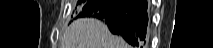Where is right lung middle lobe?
<instances>
[{"label":"right lung middle lobe","instance_id":"1","mask_svg":"<svg viewBox=\"0 0 213 48\" xmlns=\"http://www.w3.org/2000/svg\"><path fill=\"white\" fill-rule=\"evenodd\" d=\"M86 2H87V0H78L77 5H78L79 7H82V6H84V5L86 4ZM79 14H80V13H79ZM78 17H79V15H78Z\"/></svg>","mask_w":213,"mask_h":48}]
</instances>
